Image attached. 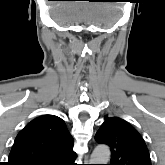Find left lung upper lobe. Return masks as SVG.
Instances as JSON below:
<instances>
[{
  "label": "left lung upper lobe",
  "mask_w": 165,
  "mask_h": 165,
  "mask_svg": "<svg viewBox=\"0 0 165 165\" xmlns=\"http://www.w3.org/2000/svg\"><path fill=\"white\" fill-rule=\"evenodd\" d=\"M105 118L95 140L110 146L109 165H151L149 151L137 130L118 117Z\"/></svg>",
  "instance_id": "5c2ea615"
}]
</instances>
